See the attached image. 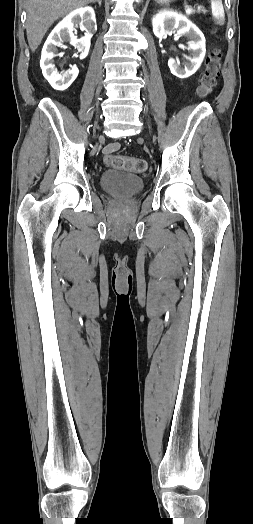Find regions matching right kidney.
I'll use <instances>...</instances> for the list:
<instances>
[{
    "label": "right kidney",
    "instance_id": "1",
    "mask_svg": "<svg viewBox=\"0 0 253 524\" xmlns=\"http://www.w3.org/2000/svg\"><path fill=\"white\" fill-rule=\"evenodd\" d=\"M75 25H79L86 31L84 37L77 39L74 36L73 30ZM96 30L95 12L91 7L74 10L52 30L42 49L40 66L44 77L54 89L66 90L79 73L76 66H73L64 74L57 72L53 60L57 47L62 46L63 42H70L77 48L79 58L84 59L89 53L91 38Z\"/></svg>",
    "mask_w": 253,
    "mask_h": 524
}]
</instances>
